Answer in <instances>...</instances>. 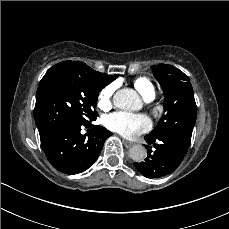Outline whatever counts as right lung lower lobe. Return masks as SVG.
I'll return each instance as SVG.
<instances>
[{
	"label": "right lung lower lobe",
	"instance_id": "right-lung-lower-lobe-1",
	"mask_svg": "<svg viewBox=\"0 0 229 229\" xmlns=\"http://www.w3.org/2000/svg\"><path fill=\"white\" fill-rule=\"evenodd\" d=\"M91 130L82 135L81 127ZM112 133L93 124H65L56 129L41 146L50 164L66 174L82 173L98 158L104 142ZM88 136V137H87Z\"/></svg>",
	"mask_w": 229,
	"mask_h": 229
}]
</instances>
